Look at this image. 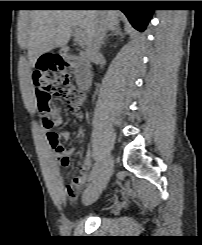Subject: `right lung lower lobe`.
Returning <instances> with one entry per match:
<instances>
[{"instance_id":"right-lung-lower-lobe-1","label":"right lung lower lobe","mask_w":202,"mask_h":245,"mask_svg":"<svg viewBox=\"0 0 202 245\" xmlns=\"http://www.w3.org/2000/svg\"><path fill=\"white\" fill-rule=\"evenodd\" d=\"M81 7H119L138 31L145 30L153 10L145 1H80Z\"/></svg>"}]
</instances>
